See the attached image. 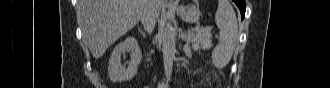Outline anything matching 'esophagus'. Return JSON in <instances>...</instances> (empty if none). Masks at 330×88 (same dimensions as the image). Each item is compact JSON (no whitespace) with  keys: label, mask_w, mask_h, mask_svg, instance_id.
Listing matches in <instances>:
<instances>
[{"label":"esophagus","mask_w":330,"mask_h":88,"mask_svg":"<svg viewBox=\"0 0 330 88\" xmlns=\"http://www.w3.org/2000/svg\"><path fill=\"white\" fill-rule=\"evenodd\" d=\"M165 4L168 6H174L176 3L173 0H164Z\"/></svg>","instance_id":"34e87169"}]
</instances>
